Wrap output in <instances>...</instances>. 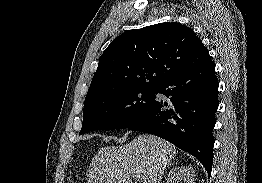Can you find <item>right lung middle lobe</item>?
<instances>
[{
	"mask_svg": "<svg viewBox=\"0 0 262 183\" xmlns=\"http://www.w3.org/2000/svg\"><path fill=\"white\" fill-rule=\"evenodd\" d=\"M156 88H131L85 101L80 134L126 128L154 100Z\"/></svg>",
	"mask_w": 262,
	"mask_h": 183,
	"instance_id": "right-lung-middle-lobe-1",
	"label": "right lung middle lobe"
}]
</instances>
